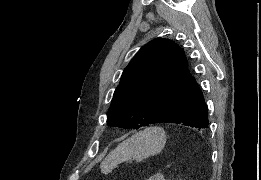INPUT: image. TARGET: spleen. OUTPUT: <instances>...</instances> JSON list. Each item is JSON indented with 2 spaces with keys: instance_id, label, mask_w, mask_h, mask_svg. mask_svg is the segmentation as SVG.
Returning a JSON list of instances; mask_svg holds the SVG:
<instances>
[{
  "instance_id": "1",
  "label": "spleen",
  "mask_w": 261,
  "mask_h": 180,
  "mask_svg": "<svg viewBox=\"0 0 261 180\" xmlns=\"http://www.w3.org/2000/svg\"><path fill=\"white\" fill-rule=\"evenodd\" d=\"M166 144V134L163 128L153 126L145 128L143 132L134 134L128 140L121 142L113 152H110L106 158V166H101L103 174H109L117 164L127 162V160H136L142 162L150 156H156L164 150Z\"/></svg>"
}]
</instances>
